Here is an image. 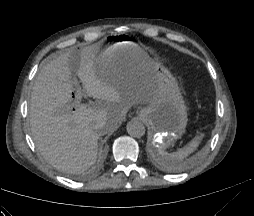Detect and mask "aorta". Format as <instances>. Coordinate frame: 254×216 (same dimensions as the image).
I'll return each instance as SVG.
<instances>
[{
    "label": "aorta",
    "mask_w": 254,
    "mask_h": 216,
    "mask_svg": "<svg viewBox=\"0 0 254 216\" xmlns=\"http://www.w3.org/2000/svg\"><path fill=\"white\" fill-rule=\"evenodd\" d=\"M127 132L131 137L140 138L145 134V126L139 120H131L127 123L126 126Z\"/></svg>",
    "instance_id": "obj_1"
}]
</instances>
